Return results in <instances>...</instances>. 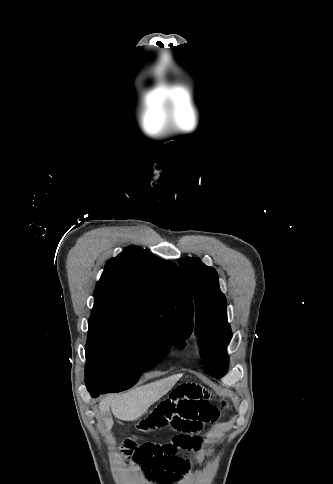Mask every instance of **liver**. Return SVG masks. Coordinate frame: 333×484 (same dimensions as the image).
Listing matches in <instances>:
<instances>
[{
	"label": "liver",
	"mask_w": 333,
	"mask_h": 484,
	"mask_svg": "<svg viewBox=\"0 0 333 484\" xmlns=\"http://www.w3.org/2000/svg\"><path fill=\"white\" fill-rule=\"evenodd\" d=\"M181 374L151 382L126 393L110 394L104 397L99 408L102 413L111 411L113 415L122 421H136L157 401L166 395L181 378ZM107 430H111L113 420H105Z\"/></svg>",
	"instance_id": "liver-1"
}]
</instances>
